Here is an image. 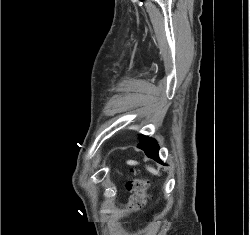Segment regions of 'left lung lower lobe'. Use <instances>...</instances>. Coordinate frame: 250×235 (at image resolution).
Instances as JSON below:
<instances>
[{
    "label": "left lung lower lobe",
    "instance_id": "0a47b994",
    "mask_svg": "<svg viewBox=\"0 0 250 235\" xmlns=\"http://www.w3.org/2000/svg\"><path fill=\"white\" fill-rule=\"evenodd\" d=\"M140 140L141 142L138 144V148L142 149L148 157L161 163L158 156L159 146L156 144V141L144 135H140Z\"/></svg>",
    "mask_w": 250,
    "mask_h": 235
}]
</instances>
